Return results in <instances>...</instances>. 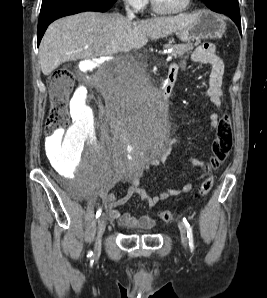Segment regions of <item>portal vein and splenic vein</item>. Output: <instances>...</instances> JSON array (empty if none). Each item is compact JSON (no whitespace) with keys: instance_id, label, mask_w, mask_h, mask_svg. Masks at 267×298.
Instances as JSON below:
<instances>
[{"instance_id":"1","label":"portal vein and splenic vein","mask_w":267,"mask_h":298,"mask_svg":"<svg viewBox=\"0 0 267 298\" xmlns=\"http://www.w3.org/2000/svg\"><path fill=\"white\" fill-rule=\"evenodd\" d=\"M172 59V55L167 57V60H171Z\"/></svg>"}]
</instances>
